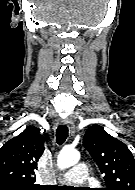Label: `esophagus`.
<instances>
[{
  "mask_svg": "<svg viewBox=\"0 0 135 190\" xmlns=\"http://www.w3.org/2000/svg\"><path fill=\"white\" fill-rule=\"evenodd\" d=\"M63 124L67 125L69 127V131H70L71 135H73L75 132V125H74L73 121L70 118H66L63 120Z\"/></svg>",
  "mask_w": 135,
  "mask_h": 190,
  "instance_id": "obj_1",
  "label": "esophagus"
}]
</instances>
